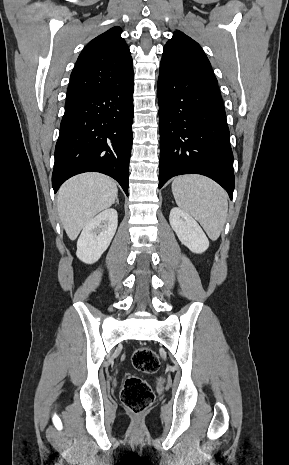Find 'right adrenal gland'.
<instances>
[{"label": "right adrenal gland", "instance_id": "right-adrenal-gland-1", "mask_svg": "<svg viewBox=\"0 0 289 465\" xmlns=\"http://www.w3.org/2000/svg\"><path fill=\"white\" fill-rule=\"evenodd\" d=\"M116 203L119 204V199L118 198H116Z\"/></svg>", "mask_w": 289, "mask_h": 465}]
</instances>
